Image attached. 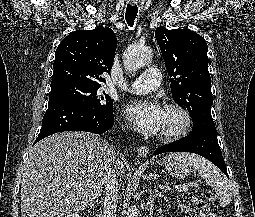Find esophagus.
Instances as JSON below:
<instances>
[{
  "label": "esophagus",
  "mask_w": 255,
  "mask_h": 217,
  "mask_svg": "<svg viewBox=\"0 0 255 217\" xmlns=\"http://www.w3.org/2000/svg\"><path fill=\"white\" fill-rule=\"evenodd\" d=\"M138 155L140 157H146L149 151V148L147 146H141L138 148Z\"/></svg>",
  "instance_id": "esophagus-1"
}]
</instances>
